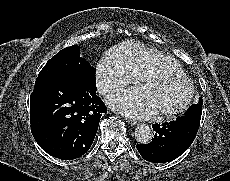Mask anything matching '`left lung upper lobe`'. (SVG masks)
I'll return each instance as SVG.
<instances>
[{
  "mask_svg": "<svg viewBox=\"0 0 230 181\" xmlns=\"http://www.w3.org/2000/svg\"><path fill=\"white\" fill-rule=\"evenodd\" d=\"M199 105H202L203 104V100H202V98H200L199 99V103H198ZM194 105V104H193Z\"/></svg>",
  "mask_w": 230,
  "mask_h": 181,
  "instance_id": "left-lung-upper-lobe-1",
  "label": "left lung upper lobe"
}]
</instances>
